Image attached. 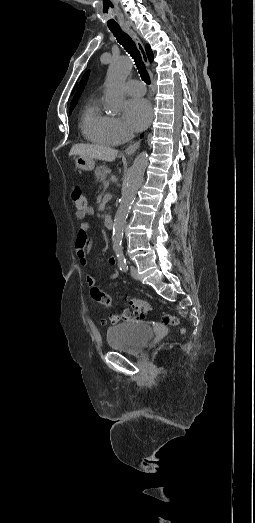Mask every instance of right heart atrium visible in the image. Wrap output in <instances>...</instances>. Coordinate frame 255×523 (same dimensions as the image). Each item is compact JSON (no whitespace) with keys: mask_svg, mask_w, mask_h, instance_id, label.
I'll return each mask as SVG.
<instances>
[{"mask_svg":"<svg viewBox=\"0 0 255 523\" xmlns=\"http://www.w3.org/2000/svg\"><path fill=\"white\" fill-rule=\"evenodd\" d=\"M113 123H114L115 130L119 136H122V137L130 136L131 133L121 118H119V117L113 118Z\"/></svg>","mask_w":255,"mask_h":523,"instance_id":"d8ad5b80","label":"right heart atrium"}]
</instances>
